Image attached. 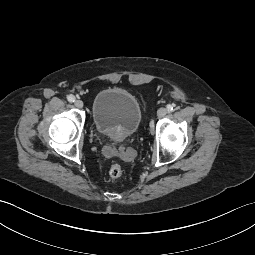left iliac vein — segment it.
I'll return each instance as SVG.
<instances>
[{"mask_svg": "<svg viewBox=\"0 0 255 255\" xmlns=\"http://www.w3.org/2000/svg\"><path fill=\"white\" fill-rule=\"evenodd\" d=\"M166 114H167V109L166 108L162 107V108L158 109V111H157V116L159 118H162V117L166 116Z\"/></svg>", "mask_w": 255, "mask_h": 255, "instance_id": "left-iliac-vein-1", "label": "left iliac vein"}]
</instances>
